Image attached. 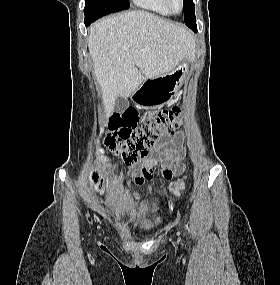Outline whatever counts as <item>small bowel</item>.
Masks as SVG:
<instances>
[{
    "label": "small bowel",
    "instance_id": "obj_1",
    "mask_svg": "<svg viewBox=\"0 0 280 285\" xmlns=\"http://www.w3.org/2000/svg\"><path fill=\"white\" fill-rule=\"evenodd\" d=\"M171 142L174 145H178L181 142V136L177 134ZM168 143L169 141L165 138L155 149L156 152L163 153L164 159L145 156L140 162L129 164L132 170V180L135 184L141 185L151 181L154 178V172L157 167H161L165 179H169L184 170V165L181 162L185 156L184 151L182 149L166 148L165 146Z\"/></svg>",
    "mask_w": 280,
    "mask_h": 285
}]
</instances>
